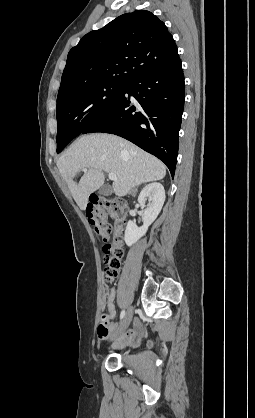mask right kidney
<instances>
[{"label": "right kidney", "mask_w": 255, "mask_h": 418, "mask_svg": "<svg viewBox=\"0 0 255 418\" xmlns=\"http://www.w3.org/2000/svg\"><path fill=\"white\" fill-rule=\"evenodd\" d=\"M149 201L147 207L146 201ZM139 205L142 209L143 226L138 227L133 221H128L125 230V243L127 246L135 244L148 230V227L159 215L165 202V190L162 184L154 182L143 188L139 197Z\"/></svg>", "instance_id": "right-kidney-1"}]
</instances>
